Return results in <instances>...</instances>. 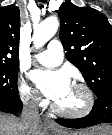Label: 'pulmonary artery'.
I'll use <instances>...</instances> for the list:
<instances>
[{"label": "pulmonary artery", "instance_id": "obj_1", "mask_svg": "<svg viewBox=\"0 0 112 135\" xmlns=\"http://www.w3.org/2000/svg\"><path fill=\"white\" fill-rule=\"evenodd\" d=\"M36 60L48 67H55L63 61V46L58 40H51L47 48L35 55Z\"/></svg>", "mask_w": 112, "mask_h": 135}]
</instances>
